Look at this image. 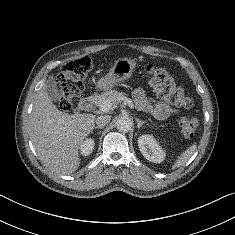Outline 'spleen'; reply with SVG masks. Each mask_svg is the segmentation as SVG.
<instances>
[{
	"instance_id": "spleen-1",
	"label": "spleen",
	"mask_w": 235,
	"mask_h": 235,
	"mask_svg": "<svg viewBox=\"0 0 235 235\" xmlns=\"http://www.w3.org/2000/svg\"><path fill=\"white\" fill-rule=\"evenodd\" d=\"M197 148V145L194 143L192 146H190L186 151H184L180 157H178V160L176 163L172 166V169H175L177 167H180L184 165L189 158L192 156V154L195 152Z\"/></svg>"
}]
</instances>
